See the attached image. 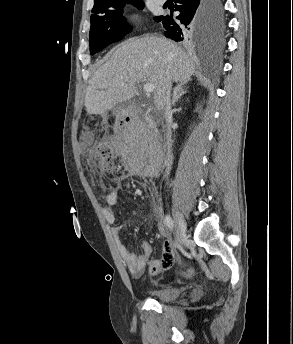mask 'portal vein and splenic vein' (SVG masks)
Returning a JSON list of instances; mask_svg holds the SVG:
<instances>
[{
	"instance_id": "obj_1",
	"label": "portal vein and splenic vein",
	"mask_w": 293,
	"mask_h": 344,
	"mask_svg": "<svg viewBox=\"0 0 293 344\" xmlns=\"http://www.w3.org/2000/svg\"><path fill=\"white\" fill-rule=\"evenodd\" d=\"M122 85H124V84H122ZM143 90H144V92L149 94V93L154 91V85L150 84V83H147V84L144 85Z\"/></svg>"
}]
</instances>
